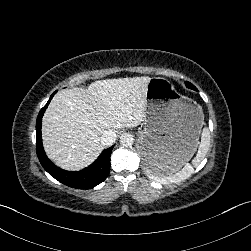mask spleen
<instances>
[{"mask_svg":"<svg viewBox=\"0 0 251 251\" xmlns=\"http://www.w3.org/2000/svg\"><path fill=\"white\" fill-rule=\"evenodd\" d=\"M211 141V134L208 127H204L201 132V139L198 145L196 156L192 159L190 163H184V166L179 168L176 173L173 172H163L158 168H153L149 165H145V172L148 175H154L151 179L154 181H162L165 183H177L188 178L194 173V168L198 167L202 160L207 155Z\"/></svg>","mask_w":251,"mask_h":251,"instance_id":"obj_1","label":"spleen"}]
</instances>
